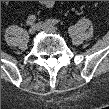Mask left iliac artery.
Returning a JSON list of instances; mask_svg holds the SVG:
<instances>
[{
    "mask_svg": "<svg viewBox=\"0 0 109 109\" xmlns=\"http://www.w3.org/2000/svg\"><path fill=\"white\" fill-rule=\"evenodd\" d=\"M47 22L50 23V24H52V25H55V24L59 23L60 20L52 19V18H51V19H48Z\"/></svg>",
    "mask_w": 109,
    "mask_h": 109,
    "instance_id": "obj_1",
    "label": "left iliac artery"
}]
</instances>
